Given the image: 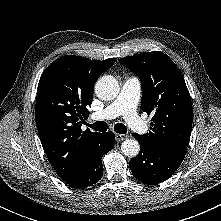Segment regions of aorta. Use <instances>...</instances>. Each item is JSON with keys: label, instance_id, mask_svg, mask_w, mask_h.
<instances>
[{"label": "aorta", "instance_id": "1", "mask_svg": "<svg viewBox=\"0 0 221 221\" xmlns=\"http://www.w3.org/2000/svg\"><path fill=\"white\" fill-rule=\"evenodd\" d=\"M119 84L116 78L111 75H105L98 79L95 84V94L101 100H113L119 93ZM121 150L127 157H136L140 151V144L136 139H126Z\"/></svg>", "mask_w": 221, "mask_h": 221}]
</instances>
